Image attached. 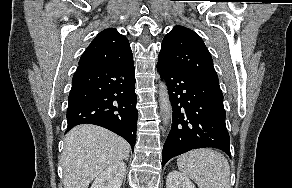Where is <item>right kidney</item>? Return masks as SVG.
<instances>
[{"instance_id": "right-kidney-1", "label": "right kidney", "mask_w": 292, "mask_h": 188, "mask_svg": "<svg viewBox=\"0 0 292 188\" xmlns=\"http://www.w3.org/2000/svg\"><path fill=\"white\" fill-rule=\"evenodd\" d=\"M126 164L118 161L108 166L95 179L91 188H121Z\"/></svg>"}]
</instances>
